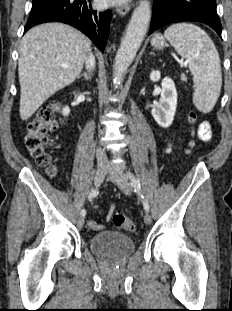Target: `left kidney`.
<instances>
[{
    "mask_svg": "<svg viewBox=\"0 0 232 311\" xmlns=\"http://www.w3.org/2000/svg\"><path fill=\"white\" fill-rule=\"evenodd\" d=\"M159 71H152L150 73V80L157 82L160 79ZM161 98L159 103L152 108V116L157 124L163 128H168L174 119L177 107V91L173 80L165 77L162 80Z\"/></svg>",
    "mask_w": 232,
    "mask_h": 311,
    "instance_id": "5707ae66",
    "label": "left kidney"
}]
</instances>
